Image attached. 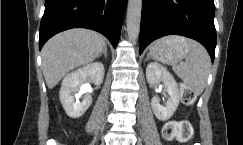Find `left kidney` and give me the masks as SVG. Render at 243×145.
Listing matches in <instances>:
<instances>
[{
	"label": "left kidney",
	"instance_id": "obj_1",
	"mask_svg": "<svg viewBox=\"0 0 243 145\" xmlns=\"http://www.w3.org/2000/svg\"><path fill=\"white\" fill-rule=\"evenodd\" d=\"M146 79L151 85L164 83V90L169 98L165 105L160 104L159 97L154 96L151 100V106L154 115L160 121H166L174 114L180 102L178 84L174 77L162 65L152 62L146 68Z\"/></svg>",
	"mask_w": 243,
	"mask_h": 145
}]
</instances>
